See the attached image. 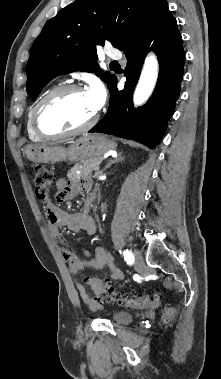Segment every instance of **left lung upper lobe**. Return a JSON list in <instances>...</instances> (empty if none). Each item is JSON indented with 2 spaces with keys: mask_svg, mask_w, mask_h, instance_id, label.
I'll list each match as a JSON object with an SVG mask.
<instances>
[{
  "mask_svg": "<svg viewBox=\"0 0 221 379\" xmlns=\"http://www.w3.org/2000/svg\"><path fill=\"white\" fill-rule=\"evenodd\" d=\"M164 0H75L50 19L31 50L27 89L36 99L54 77L95 72L109 86L116 76L99 69L97 45L122 50L151 21Z\"/></svg>",
  "mask_w": 221,
  "mask_h": 379,
  "instance_id": "left-lung-upper-lobe-1",
  "label": "left lung upper lobe"
}]
</instances>
